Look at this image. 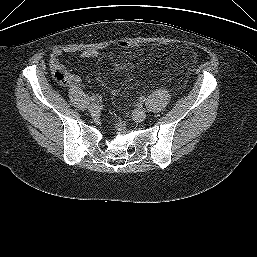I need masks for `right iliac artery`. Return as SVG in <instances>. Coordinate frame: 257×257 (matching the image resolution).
Segmentation results:
<instances>
[{
  "mask_svg": "<svg viewBox=\"0 0 257 257\" xmlns=\"http://www.w3.org/2000/svg\"><path fill=\"white\" fill-rule=\"evenodd\" d=\"M89 100H90V101H95V100H96V97H95V96H90V97H89Z\"/></svg>",
  "mask_w": 257,
  "mask_h": 257,
  "instance_id": "1",
  "label": "right iliac artery"
}]
</instances>
